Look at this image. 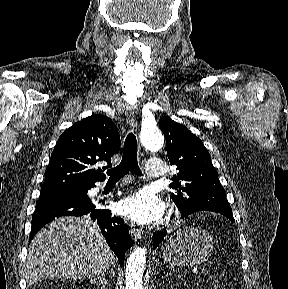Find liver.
Wrapping results in <instances>:
<instances>
[{"label":"liver","mask_w":288,"mask_h":289,"mask_svg":"<svg viewBox=\"0 0 288 289\" xmlns=\"http://www.w3.org/2000/svg\"><path fill=\"white\" fill-rule=\"evenodd\" d=\"M114 254L89 216L62 217L33 238L25 278L34 284L45 278L93 279L114 264Z\"/></svg>","instance_id":"1"}]
</instances>
